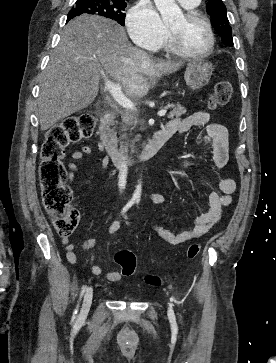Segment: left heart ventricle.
I'll list each match as a JSON object with an SVG mask.
<instances>
[{"label": "left heart ventricle", "instance_id": "1", "mask_svg": "<svg viewBox=\"0 0 276 363\" xmlns=\"http://www.w3.org/2000/svg\"><path fill=\"white\" fill-rule=\"evenodd\" d=\"M170 28L174 30L181 45L187 50L194 53H200L208 47L209 36L203 22H188L182 15L175 22L170 24Z\"/></svg>", "mask_w": 276, "mask_h": 363}]
</instances>
